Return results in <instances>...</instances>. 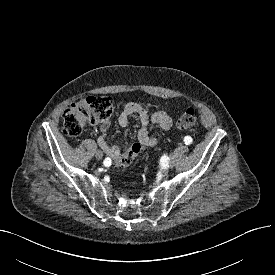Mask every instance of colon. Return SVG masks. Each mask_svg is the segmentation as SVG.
<instances>
[{"label": "colon", "mask_w": 275, "mask_h": 275, "mask_svg": "<svg viewBox=\"0 0 275 275\" xmlns=\"http://www.w3.org/2000/svg\"><path fill=\"white\" fill-rule=\"evenodd\" d=\"M113 104L109 97L90 96L82 99L67 108L63 113V129L69 136H78L83 128L91 123L106 124L112 115ZM198 112L194 108H189L178 119L177 127L187 129L197 125ZM141 147L135 144L128 157L116 162L118 169L128 166L138 155Z\"/></svg>", "instance_id": "obj_1"}]
</instances>
